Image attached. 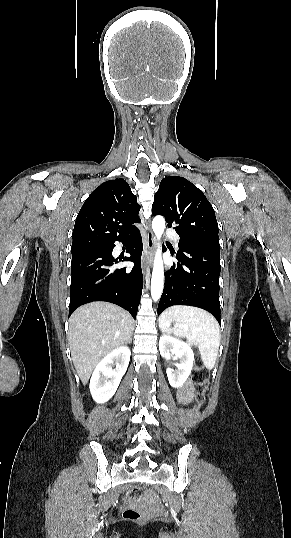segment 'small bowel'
<instances>
[{
  "instance_id": "small-bowel-1",
  "label": "small bowel",
  "mask_w": 291,
  "mask_h": 538,
  "mask_svg": "<svg viewBox=\"0 0 291 538\" xmlns=\"http://www.w3.org/2000/svg\"><path fill=\"white\" fill-rule=\"evenodd\" d=\"M179 394L184 400H189L191 398V395H192V387H191V385L189 383L184 384L180 388Z\"/></svg>"
}]
</instances>
